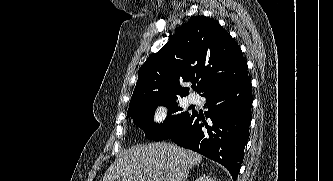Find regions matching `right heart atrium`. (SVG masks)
Masks as SVG:
<instances>
[{"label":"right heart atrium","instance_id":"d8ad5b80","mask_svg":"<svg viewBox=\"0 0 333 181\" xmlns=\"http://www.w3.org/2000/svg\"><path fill=\"white\" fill-rule=\"evenodd\" d=\"M170 112V106L165 103L156 104L151 111V120L153 123L160 125L165 122Z\"/></svg>","mask_w":333,"mask_h":181}]
</instances>
